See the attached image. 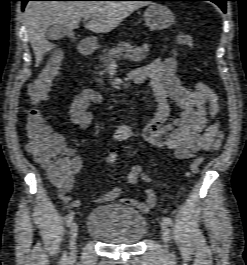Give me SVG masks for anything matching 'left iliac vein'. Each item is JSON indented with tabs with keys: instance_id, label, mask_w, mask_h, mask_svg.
Returning <instances> with one entry per match:
<instances>
[{
	"instance_id": "obj_1",
	"label": "left iliac vein",
	"mask_w": 247,
	"mask_h": 265,
	"mask_svg": "<svg viewBox=\"0 0 247 265\" xmlns=\"http://www.w3.org/2000/svg\"><path fill=\"white\" fill-rule=\"evenodd\" d=\"M161 233L165 244V253H168V241H169V228L168 225L163 221L161 222Z\"/></svg>"
}]
</instances>
